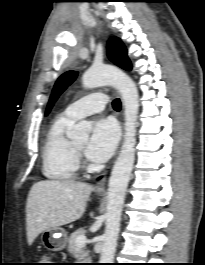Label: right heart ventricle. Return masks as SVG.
<instances>
[{"instance_id": "1", "label": "right heart ventricle", "mask_w": 205, "mask_h": 265, "mask_svg": "<svg viewBox=\"0 0 205 265\" xmlns=\"http://www.w3.org/2000/svg\"><path fill=\"white\" fill-rule=\"evenodd\" d=\"M74 123L64 115L59 116L50 126L42 148V172L55 181H67L75 177L77 170L76 153L66 130Z\"/></svg>"}]
</instances>
